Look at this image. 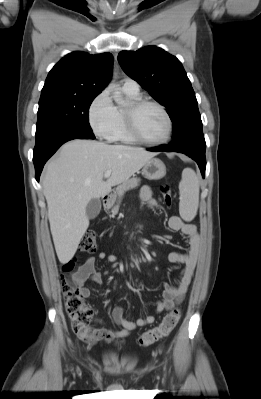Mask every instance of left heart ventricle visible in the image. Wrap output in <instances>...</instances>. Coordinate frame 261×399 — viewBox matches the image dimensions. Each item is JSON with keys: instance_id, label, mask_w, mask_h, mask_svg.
<instances>
[{"instance_id": "left-heart-ventricle-1", "label": "left heart ventricle", "mask_w": 261, "mask_h": 399, "mask_svg": "<svg viewBox=\"0 0 261 399\" xmlns=\"http://www.w3.org/2000/svg\"><path fill=\"white\" fill-rule=\"evenodd\" d=\"M140 133L149 140H161L167 134V120L155 106H145L136 114Z\"/></svg>"}]
</instances>
